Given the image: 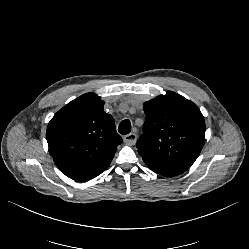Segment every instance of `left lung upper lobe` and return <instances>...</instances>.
Segmentation results:
<instances>
[{
  "label": "left lung upper lobe",
  "mask_w": 249,
  "mask_h": 249,
  "mask_svg": "<svg viewBox=\"0 0 249 249\" xmlns=\"http://www.w3.org/2000/svg\"><path fill=\"white\" fill-rule=\"evenodd\" d=\"M146 120L137 142L147 166L159 164L186 171L205 142V123L199 108L183 96L168 91L143 105Z\"/></svg>",
  "instance_id": "1"
}]
</instances>
